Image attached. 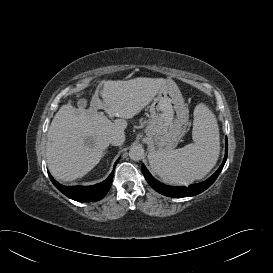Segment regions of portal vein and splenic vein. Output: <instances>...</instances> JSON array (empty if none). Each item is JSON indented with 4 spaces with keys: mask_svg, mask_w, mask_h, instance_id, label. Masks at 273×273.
I'll return each instance as SVG.
<instances>
[{
    "mask_svg": "<svg viewBox=\"0 0 273 273\" xmlns=\"http://www.w3.org/2000/svg\"><path fill=\"white\" fill-rule=\"evenodd\" d=\"M111 117L114 115V114H111L107 109L105 110Z\"/></svg>",
    "mask_w": 273,
    "mask_h": 273,
    "instance_id": "portal-vein-and-splenic-vein-1",
    "label": "portal vein and splenic vein"
}]
</instances>
